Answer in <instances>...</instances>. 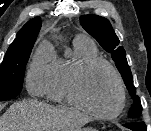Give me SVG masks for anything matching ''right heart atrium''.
I'll list each match as a JSON object with an SVG mask.
<instances>
[{
    "instance_id": "right-heart-atrium-1",
    "label": "right heart atrium",
    "mask_w": 151,
    "mask_h": 131,
    "mask_svg": "<svg viewBox=\"0 0 151 131\" xmlns=\"http://www.w3.org/2000/svg\"><path fill=\"white\" fill-rule=\"evenodd\" d=\"M50 55L36 54L29 64L26 73V87L34 96L45 95L50 79L52 62Z\"/></svg>"
}]
</instances>
